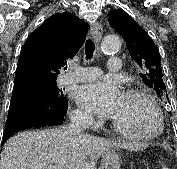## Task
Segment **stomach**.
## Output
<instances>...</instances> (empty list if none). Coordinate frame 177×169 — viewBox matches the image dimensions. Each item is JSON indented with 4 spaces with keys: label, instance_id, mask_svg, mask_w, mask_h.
<instances>
[{
    "label": "stomach",
    "instance_id": "1",
    "mask_svg": "<svg viewBox=\"0 0 177 169\" xmlns=\"http://www.w3.org/2000/svg\"><path fill=\"white\" fill-rule=\"evenodd\" d=\"M120 155L113 149H109L102 156V163L99 169H120Z\"/></svg>",
    "mask_w": 177,
    "mask_h": 169
}]
</instances>
